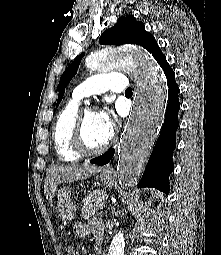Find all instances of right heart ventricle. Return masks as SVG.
Listing matches in <instances>:
<instances>
[{"label":"right heart ventricle","mask_w":221,"mask_h":255,"mask_svg":"<svg viewBox=\"0 0 221 255\" xmlns=\"http://www.w3.org/2000/svg\"><path fill=\"white\" fill-rule=\"evenodd\" d=\"M78 118V105L72 100L60 111L54 123L53 142L59 159L64 163H76L82 158L73 144Z\"/></svg>","instance_id":"e07e8e85"}]
</instances>
